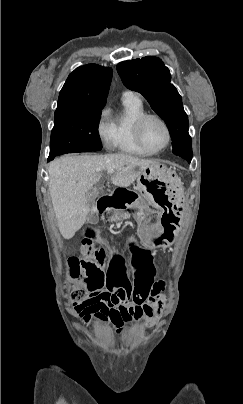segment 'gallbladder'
Instances as JSON below:
<instances>
[{
  "mask_svg": "<svg viewBox=\"0 0 243 404\" xmlns=\"http://www.w3.org/2000/svg\"><path fill=\"white\" fill-rule=\"evenodd\" d=\"M98 196V192L97 190H95V188H93V190H91V194L87 195V210L89 211L86 214V217L89 219V223L91 225H94L96 223L98 214L95 212V210L92 208L95 204V200Z\"/></svg>",
  "mask_w": 243,
  "mask_h": 404,
  "instance_id": "bac80fb5",
  "label": "gallbladder"
}]
</instances>
